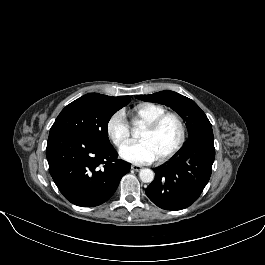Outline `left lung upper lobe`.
I'll use <instances>...</instances> for the list:
<instances>
[{"label": "left lung upper lobe", "instance_id": "left-lung-upper-lobe-1", "mask_svg": "<svg viewBox=\"0 0 265 265\" xmlns=\"http://www.w3.org/2000/svg\"><path fill=\"white\" fill-rule=\"evenodd\" d=\"M136 98L142 101L160 103L173 109L186 121L189 136L201 129L211 127L207 116L193 100L174 91L138 95Z\"/></svg>", "mask_w": 265, "mask_h": 265}]
</instances>
